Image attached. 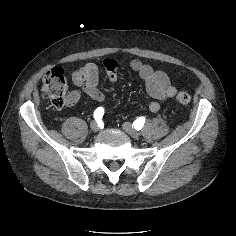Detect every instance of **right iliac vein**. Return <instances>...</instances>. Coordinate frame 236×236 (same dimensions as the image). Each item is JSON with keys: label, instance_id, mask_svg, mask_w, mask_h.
Masks as SVG:
<instances>
[{"label": "right iliac vein", "instance_id": "63e3f726", "mask_svg": "<svg viewBox=\"0 0 236 236\" xmlns=\"http://www.w3.org/2000/svg\"><path fill=\"white\" fill-rule=\"evenodd\" d=\"M90 128L93 132H98L100 130L99 125L95 121L91 122Z\"/></svg>", "mask_w": 236, "mask_h": 236}]
</instances>
